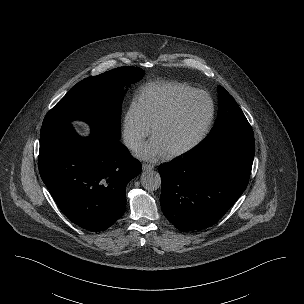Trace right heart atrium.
<instances>
[{"label": "right heart atrium", "instance_id": "right-heart-atrium-1", "mask_svg": "<svg viewBox=\"0 0 304 304\" xmlns=\"http://www.w3.org/2000/svg\"><path fill=\"white\" fill-rule=\"evenodd\" d=\"M151 126L145 119L137 100L128 106L122 121V135L129 149L138 148L149 136Z\"/></svg>", "mask_w": 304, "mask_h": 304}]
</instances>
